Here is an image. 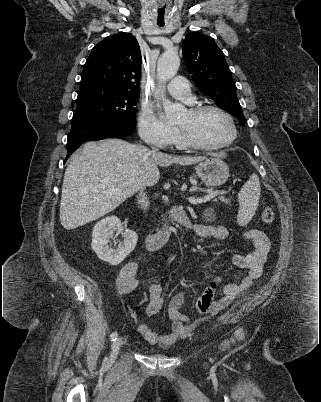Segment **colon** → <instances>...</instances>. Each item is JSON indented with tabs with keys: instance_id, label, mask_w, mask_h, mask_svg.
<instances>
[{
	"instance_id": "5ec220e1",
	"label": "colon",
	"mask_w": 321,
	"mask_h": 402,
	"mask_svg": "<svg viewBox=\"0 0 321 402\" xmlns=\"http://www.w3.org/2000/svg\"><path fill=\"white\" fill-rule=\"evenodd\" d=\"M275 214L270 206H266L262 211V221L264 223H272L274 221ZM211 307V300L198 304L197 309L200 313H206Z\"/></svg>"
}]
</instances>
